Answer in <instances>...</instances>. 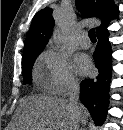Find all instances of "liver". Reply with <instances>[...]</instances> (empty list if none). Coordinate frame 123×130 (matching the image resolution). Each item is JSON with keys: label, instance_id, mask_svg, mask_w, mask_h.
Returning <instances> with one entry per match:
<instances>
[{"label": "liver", "instance_id": "liver-1", "mask_svg": "<svg viewBox=\"0 0 123 130\" xmlns=\"http://www.w3.org/2000/svg\"><path fill=\"white\" fill-rule=\"evenodd\" d=\"M81 122L86 124L89 113L80 104ZM9 130H72V112L64 98L32 95L20 99L8 126Z\"/></svg>", "mask_w": 123, "mask_h": 130}]
</instances>
